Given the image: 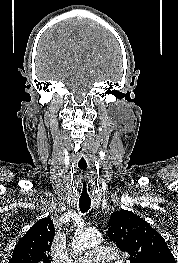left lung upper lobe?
Returning a JSON list of instances; mask_svg holds the SVG:
<instances>
[{
	"label": "left lung upper lobe",
	"mask_w": 178,
	"mask_h": 263,
	"mask_svg": "<svg viewBox=\"0 0 178 263\" xmlns=\"http://www.w3.org/2000/svg\"><path fill=\"white\" fill-rule=\"evenodd\" d=\"M109 239L128 252L130 263H176L165 239L149 223L131 211L111 214Z\"/></svg>",
	"instance_id": "left-lung-upper-lobe-1"
}]
</instances>
